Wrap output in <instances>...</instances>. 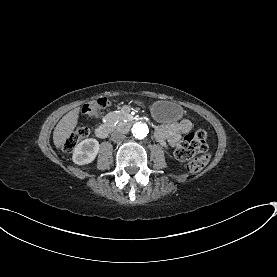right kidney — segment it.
Masks as SVG:
<instances>
[{
  "mask_svg": "<svg viewBox=\"0 0 277 277\" xmlns=\"http://www.w3.org/2000/svg\"><path fill=\"white\" fill-rule=\"evenodd\" d=\"M99 150L100 144L96 139H85L74 147L72 161L78 166L90 164L95 161Z\"/></svg>",
  "mask_w": 277,
  "mask_h": 277,
  "instance_id": "obj_1",
  "label": "right kidney"
}]
</instances>
